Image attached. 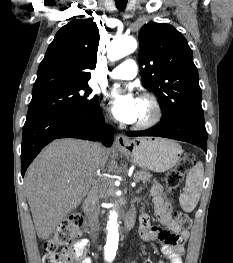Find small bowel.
Instances as JSON below:
<instances>
[{"mask_svg": "<svg viewBox=\"0 0 233 263\" xmlns=\"http://www.w3.org/2000/svg\"><path fill=\"white\" fill-rule=\"evenodd\" d=\"M151 194L154 203V212L161 223V227L152 226L149 217L142 214L140 217V235L143 241H156L162 246V251L168 258V263H183L185 244L189 237V232L182 229L172 215V206L163 194L159 183L153 182ZM83 243L88 248V241L83 239ZM83 263H93L90 257L84 259ZM136 263V262H135ZM157 263H164L158 261Z\"/></svg>", "mask_w": 233, "mask_h": 263, "instance_id": "small-bowel-1", "label": "small bowel"}]
</instances>
